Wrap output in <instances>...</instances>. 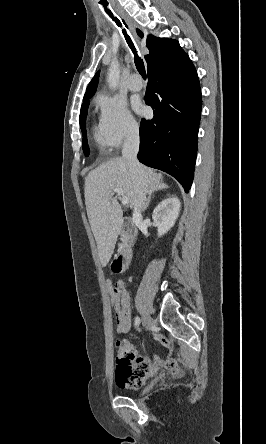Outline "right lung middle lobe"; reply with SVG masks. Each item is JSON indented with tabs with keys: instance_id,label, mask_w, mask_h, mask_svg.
Returning <instances> with one entry per match:
<instances>
[{
	"instance_id": "1",
	"label": "right lung middle lobe",
	"mask_w": 266,
	"mask_h": 444,
	"mask_svg": "<svg viewBox=\"0 0 266 444\" xmlns=\"http://www.w3.org/2000/svg\"><path fill=\"white\" fill-rule=\"evenodd\" d=\"M88 106H89V101H86L82 104L81 111H80V117H79L80 128H81V131L83 134L82 144H83V151H84L85 156L89 155V148H88V144H87L86 129H85V120H86Z\"/></svg>"
}]
</instances>
